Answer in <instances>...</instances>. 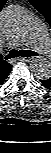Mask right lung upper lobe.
<instances>
[{
    "label": "right lung upper lobe",
    "mask_w": 51,
    "mask_h": 153,
    "mask_svg": "<svg viewBox=\"0 0 51 153\" xmlns=\"http://www.w3.org/2000/svg\"><path fill=\"white\" fill-rule=\"evenodd\" d=\"M7 0H0V11L3 8L4 4ZM11 68V64L7 63L2 59V55L0 54V85L2 84L5 77L8 75V72Z\"/></svg>",
    "instance_id": "cb5924a9"
}]
</instances>
